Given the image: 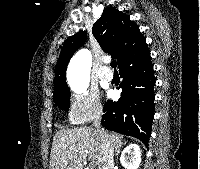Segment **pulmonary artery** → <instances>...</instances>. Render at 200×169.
Here are the masks:
<instances>
[{
    "mask_svg": "<svg viewBox=\"0 0 200 169\" xmlns=\"http://www.w3.org/2000/svg\"><path fill=\"white\" fill-rule=\"evenodd\" d=\"M99 77L102 81L110 82L113 79V73L111 72L110 68L105 66L100 72Z\"/></svg>",
    "mask_w": 200,
    "mask_h": 169,
    "instance_id": "obj_1",
    "label": "pulmonary artery"
}]
</instances>
